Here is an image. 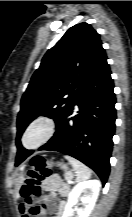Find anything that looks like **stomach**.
<instances>
[{"label":"stomach","instance_id":"stomach-1","mask_svg":"<svg viewBox=\"0 0 132 217\" xmlns=\"http://www.w3.org/2000/svg\"><path fill=\"white\" fill-rule=\"evenodd\" d=\"M58 165L61 166V168L64 169V170H67V169H68V167H67L66 164H61V163H59Z\"/></svg>","mask_w":132,"mask_h":217}]
</instances>
